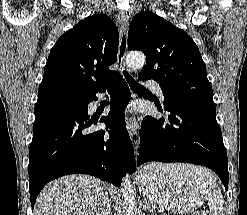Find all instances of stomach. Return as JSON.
<instances>
[{"label": "stomach", "mask_w": 247, "mask_h": 215, "mask_svg": "<svg viewBox=\"0 0 247 215\" xmlns=\"http://www.w3.org/2000/svg\"><path fill=\"white\" fill-rule=\"evenodd\" d=\"M137 180L146 198L173 213L194 211L215 185L208 170L187 164L154 163L144 167Z\"/></svg>", "instance_id": "stomach-1"}]
</instances>
